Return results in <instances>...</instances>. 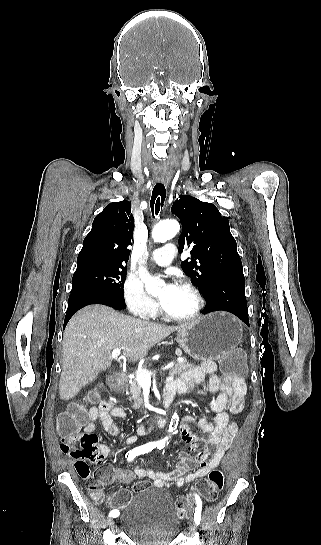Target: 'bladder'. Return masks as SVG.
<instances>
[{
	"instance_id": "1",
	"label": "bladder",
	"mask_w": 321,
	"mask_h": 545,
	"mask_svg": "<svg viewBox=\"0 0 321 545\" xmlns=\"http://www.w3.org/2000/svg\"><path fill=\"white\" fill-rule=\"evenodd\" d=\"M118 519L122 531L136 545H168L177 538L181 526L172 496L157 487L133 494Z\"/></svg>"
}]
</instances>
